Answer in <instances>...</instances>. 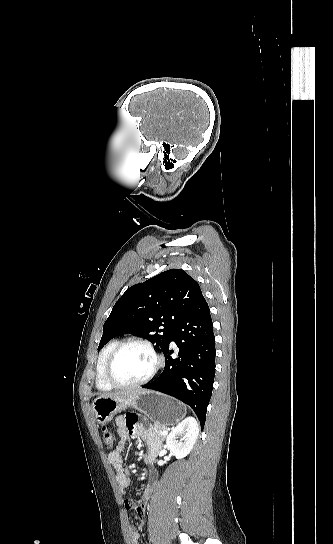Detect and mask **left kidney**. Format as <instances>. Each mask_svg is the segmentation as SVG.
Returning a JSON list of instances; mask_svg holds the SVG:
<instances>
[{
    "label": "left kidney",
    "instance_id": "left-kidney-1",
    "mask_svg": "<svg viewBox=\"0 0 333 544\" xmlns=\"http://www.w3.org/2000/svg\"><path fill=\"white\" fill-rule=\"evenodd\" d=\"M198 434L197 421L188 417L169 433L166 439L167 448L177 459L184 458L193 449Z\"/></svg>",
    "mask_w": 333,
    "mask_h": 544
}]
</instances>
